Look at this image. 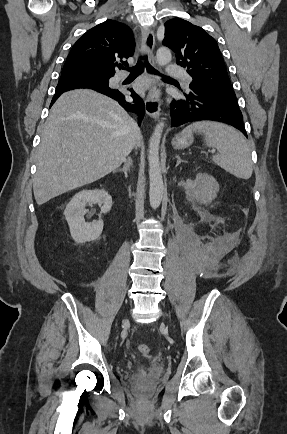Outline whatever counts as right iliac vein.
<instances>
[{"mask_svg": "<svg viewBox=\"0 0 287 434\" xmlns=\"http://www.w3.org/2000/svg\"><path fill=\"white\" fill-rule=\"evenodd\" d=\"M123 322L126 323V322H127V319L125 318V319L123 320Z\"/></svg>", "mask_w": 287, "mask_h": 434, "instance_id": "63e3f726", "label": "right iliac vein"}]
</instances>
